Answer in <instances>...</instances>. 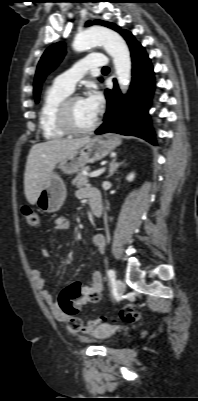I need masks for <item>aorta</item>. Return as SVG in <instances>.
<instances>
[{
    "instance_id": "obj_1",
    "label": "aorta",
    "mask_w": 198,
    "mask_h": 401,
    "mask_svg": "<svg viewBox=\"0 0 198 401\" xmlns=\"http://www.w3.org/2000/svg\"><path fill=\"white\" fill-rule=\"evenodd\" d=\"M102 45L113 58L119 86L123 92L131 80V58L124 39L116 32L101 26L91 27L75 37L73 49L81 52Z\"/></svg>"
}]
</instances>
